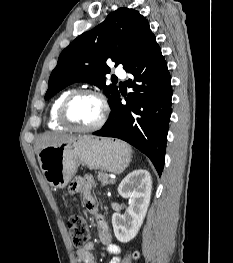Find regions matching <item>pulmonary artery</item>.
<instances>
[{
  "mask_svg": "<svg viewBox=\"0 0 233 263\" xmlns=\"http://www.w3.org/2000/svg\"><path fill=\"white\" fill-rule=\"evenodd\" d=\"M115 74L120 77V78H125L126 77V72L122 67H117L115 70Z\"/></svg>",
  "mask_w": 233,
  "mask_h": 263,
  "instance_id": "pulmonary-artery-1",
  "label": "pulmonary artery"
}]
</instances>
